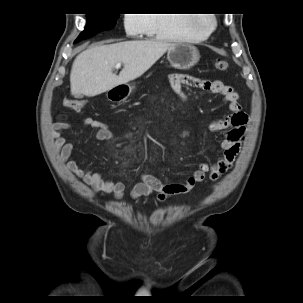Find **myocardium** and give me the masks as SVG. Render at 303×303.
I'll use <instances>...</instances> for the list:
<instances>
[{
	"instance_id": "f54148a6",
	"label": "myocardium",
	"mask_w": 303,
	"mask_h": 303,
	"mask_svg": "<svg viewBox=\"0 0 303 303\" xmlns=\"http://www.w3.org/2000/svg\"><path fill=\"white\" fill-rule=\"evenodd\" d=\"M210 21V27L207 30H201L198 28L199 23L202 21L201 17L191 16V24L194 32L199 38H205L210 36L216 29L217 18L214 15L207 16Z\"/></svg>"
}]
</instances>
